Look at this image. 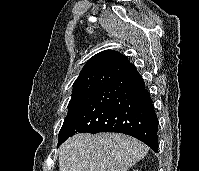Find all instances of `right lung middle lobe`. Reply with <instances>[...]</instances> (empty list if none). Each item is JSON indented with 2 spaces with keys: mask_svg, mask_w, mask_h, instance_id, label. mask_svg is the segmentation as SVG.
I'll list each match as a JSON object with an SVG mask.
<instances>
[{
  "mask_svg": "<svg viewBox=\"0 0 199 171\" xmlns=\"http://www.w3.org/2000/svg\"><path fill=\"white\" fill-rule=\"evenodd\" d=\"M113 77L114 76L111 75H98L73 87L72 97L68 104V113L59 132V140L65 135L68 126L80 110L88 103L92 96L105 86Z\"/></svg>",
  "mask_w": 199,
  "mask_h": 171,
  "instance_id": "dd1d6c3e",
  "label": "right lung middle lobe"
}]
</instances>
